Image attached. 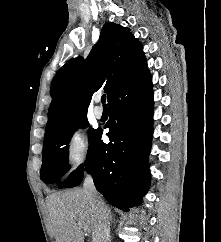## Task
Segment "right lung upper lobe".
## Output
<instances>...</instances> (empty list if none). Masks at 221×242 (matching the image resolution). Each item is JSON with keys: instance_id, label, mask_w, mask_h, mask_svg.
Returning <instances> with one entry per match:
<instances>
[{"instance_id": "obj_1", "label": "right lung upper lobe", "mask_w": 221, "mask_h": 242, "mask_svg": "<svg viewBox=\"0 0 221 242\" xmlns=\"http://www.w3.org/2000/svg\"><path fill=\"white\" fill-rule=\"evenodd\" d=\"M147 70L142 44L130 29L106 23L88 57L70 59L53 78L44 139L86 117L94 91L102 88L109 102L121 86Z\"/></svg>"}]
</instances>
